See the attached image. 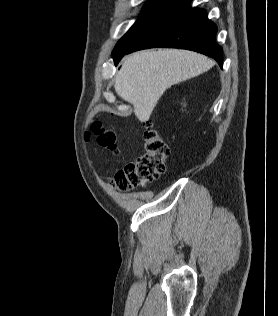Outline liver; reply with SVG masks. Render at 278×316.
Returning a JSON list of instances; mask_svg holds the SVG:
<instances>
[{
	"mask_svg": "<svg viewBox=\"0 0 278 316\" xmlns=\"http://www.w3.org/2000/svg\"><path fill=\"white\" fill-rule=\"evenodd\" d=\"M213 65L211 59L192 51H140L124 59L114 88L133 105L136 117L145 122L168 88L208 71Z\"/></svg>",
	"mask_w": 278,
	"mask_h": 316,
	"instance_id": "6515ba94",
	"label": "liver"
}]
</instances>
